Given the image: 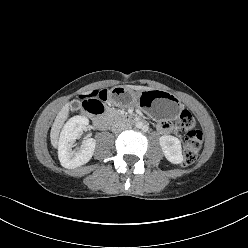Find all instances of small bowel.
<instances>
[{
  "label": "small bowel",
  "mask_w": 248,
  "mask_h": 248,
  "mask_svg": "<svg viewBox=\"0 0 248 248\" xmlns=\"http://www.w3.org/2000/svg\"><path fill=\"white\" fill-rule=\"evenodd\" d=\"M157 128L163 134H168L173 130L172 125L166 121L159 123Z\"/></svg>",
  "instance_id": "obj_1"
}]
</instances>
